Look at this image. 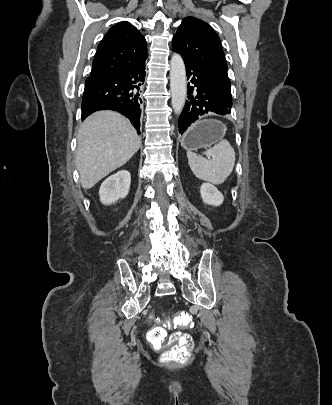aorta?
<instances>
[{
    "label": "aorta",
    "instance_id": "aorta-1",
    "mask_svg": "<svg viewBox=\"0 0 332 405\" xmlns=\"http://www.w3.org/2000/svg\"><path fill=\"white\" fill-rule=\"evenodd\" d=\"M170 65L171 103L175 114L180 115L184 108L187 94L185 64L183 58L178 53H173Z\"/></svg>",
    "mask_w": 332,
    "mask_h": 405
}]
</instances>
